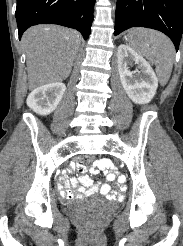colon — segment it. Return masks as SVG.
I'll list each match as a JSON object with an SVG mask.
<instances>
[{
	"instance_id": "5ec220e1",
	"label": "colon",
	"mask_w": 183,
	"mask_h": 246,
	"mask_svg": "<svg viewBox=\"0 0 183 246\" xmlns=\"http://www.w3.org/2000/svg\"><path fill=\"white\" fill-rule=\"evenodd\" d=\"M95 155H81L82 162H94ZM82 222L89 228H94L97 223V217L92 212H86L81 217Z\"/></svg>"
}]
</instances>
